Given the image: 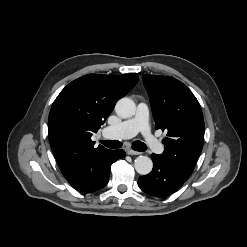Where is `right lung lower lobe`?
Wrapping results in <instances>:
<instances>
[{"instance_id": "98d812e1", "label": "right lung lower lobe", "mask_w": 247, "mask_h": 247, "mask_svg": "<svg viewBox=\"0 0 247 247\" xmlns=\"http://www.w3.org/2000/svg\"><path fill=\"white\" fill-rule=\"evenodd\" d=\"M125 157L123 150H113L105 158L103 164L84 182L73 187L84 193H92L105 187L109 181L111 164L119 158Z\"/></svg>"}]
</instances>
